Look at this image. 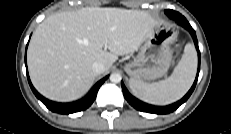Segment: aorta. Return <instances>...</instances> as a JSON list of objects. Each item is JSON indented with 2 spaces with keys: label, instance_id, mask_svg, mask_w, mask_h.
<instances>
[{
  "label": "aorta",
  "instance_id": "aorta-1",
  "mask_svg": "<svg viewBox=\"0 0 231 134\" xmlns=\"http://www.w3.org/2000/svg\"><path fill=\"white\" fill-rule=\"evenodd\" d=\"M122 77L119 73H112L110 75V81L113 83H119L121 81Z\"/></svg>",
  "mask_w": 231,
  "mask_h": 134
}]
</instances>
